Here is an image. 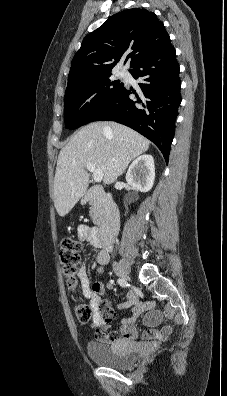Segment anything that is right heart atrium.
<instances>
[{
	"instance_id": "d8ad5b80",
	"label": "right heart atrium",
	"mask_w": 227,
	"mask_h": 396,
	"mask_svg": "<svg viewBox=\"0 0 227 396\" xmlns=\"http://www.w3.org/2000/svg\"><path fill=\"white\" fill-rule=\"evenodd\" d=\"M95 99H96L95 93L88 94L85 98L86 105H92L95 102Z\"/></svg>"
}]
</instances>
